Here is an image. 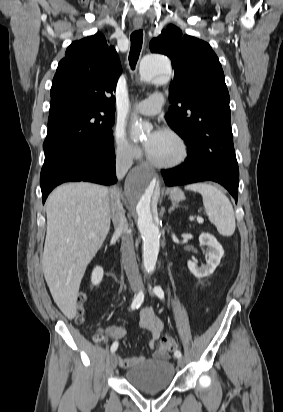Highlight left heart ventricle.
Returning a JSON list of instances; mask_svg holds the SVG:
<instances>
[{
  "label": "left heart ventricle",
  "instance_id": "obj_1",
  "mask_svg": "<svg viewBox=\"0 0 283 412\" xmlns=\"http://www.w3.org/2000/svg\"><path fill=\"white\" fill-rule=\"evenodd\" d=\"M147 144L149 155L158 162L169 163L180 156L178 142L167 133L161 132L155 139L152 138V134H149L145 139V145Z\"/></svg>",
  "mask_w": 283,
  "mask_h": 412
}]
</instances>
